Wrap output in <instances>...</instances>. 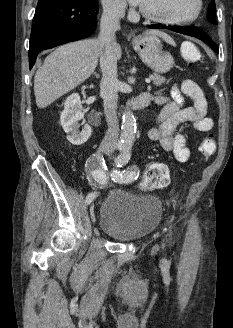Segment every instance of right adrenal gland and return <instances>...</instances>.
<instances>
[{
    "label": "right adrenal gland",
    "instance_id": "right-adrenal-gland-1",
    "mask_svg": "<svg viewBox=\"0 0 233 328\" xmlns=\"http://www.w3.org/2000/svg\"><path fill=\"white\" fill-rule=\"evenodd\" d=\"M93 74H94V76H95L97 79L100 78V75H99V74H97V73H93Z\"/></svg>",
    "mask_w": 233,
    "mask_h": 328
}]
</instances>
